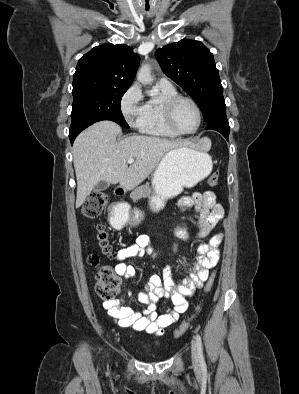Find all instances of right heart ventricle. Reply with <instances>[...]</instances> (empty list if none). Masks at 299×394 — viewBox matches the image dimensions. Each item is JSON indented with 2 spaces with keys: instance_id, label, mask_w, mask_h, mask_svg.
<instances>
[{
  "instance_id": "right-heart-ventricle-1",
  "label": "right heart ventricle",
  "mask_w": 299,
  "mask_h": 394,
  "mask_svg": "<svg viewBox=\"0 0 299 394\" xmlns=\"http://www.w3.org/2000/svg\"><path fill=\"white\" fill-rule=\"evenodd\" d=\"M158 95L149 99L144 105V113L140 124V130L142 133L155 136L174 138L177 135L170 131L163 119L162 106L165 101L178 95L176 89L171 86L156 84Z\"/></svg>"
}]
</instances>
